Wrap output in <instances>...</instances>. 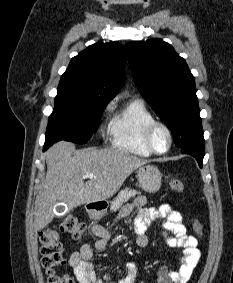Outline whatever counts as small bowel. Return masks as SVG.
Listing matches in <instances>:
<instances>
[{"mask_svg":"<svg viewBox=\"0 0 233 283\" xmlns=\"http://www.w3.org/2000/svg\"><path fill=\"white\" fill-rule=\"evenodd\" d=\"M145 202L144 197H136L130 205L122 209L121 217L129 215L134 210H139L134 221V232L137 235L136 244L139 247L148 245L147 229L152 222L160 221L164 229L166 243L172 248L182 249L183 256L178 271H172L166 266L159 269L158 283H187L200 257L197 239L187 234L179 211L173 210L169 204L145 207ZM92 231L98 237L96 242L94 244H83L79 250L71 254L69 259L77 281L79 283H135L138 273V267L135 264L127 265L126 275L120 277L117 281H111L109 276L102 271L101 277H98L91 262L93 250H105L112 232L98 225L93 226ZM119 275H121L120 272Z\"/></svg>","mask_w":233,"mask_h":283,"instance_id":"small-bowel-1","label":"small bowel"}]
</instances>
